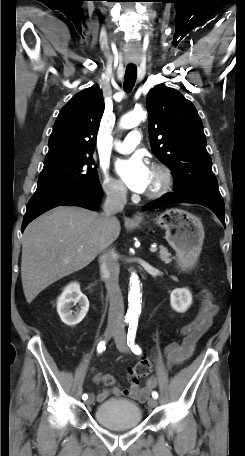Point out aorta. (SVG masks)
Here are the masks:
<instances>
[{
  "instance_id": "aorta-1",
  "label": "aorta",
  "mask_w": 245,
  "mask_h": 456,
  "mask_svg": "<svg viewBox=\"0 0 245 456\" xmlns=\"http://www.w3.org/2000/svg\"><path fill=\"white\" fill-rule=\"evenodd\" d=\"M146 117V112L142 109H136L126 115L120 120V127L130 129L139 125V123ZM128 310L126 317L128 319H135L141 312L140 301V282L138 276L132 274L130 278V291L128 294Z\"/></svg>"
}]
</instances>
